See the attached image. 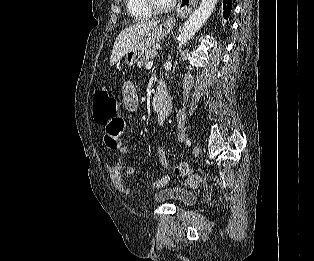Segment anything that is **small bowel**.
<instances>
[{"mask_svg":"<svg viewBox=\"0 0 314 261\" xmlns=\"http://www.w3.org/2000/svg\"><path fill=\"white\" fill-rule=\"evenodd\" d=\"M122 102L128 111H133L137 107V89L131 80L125 81L122 86ZM169 111L170 109L163 116L156 118L158 125L164 124ZM125 123L126 116H111V120L104 121V133L101 134V139L104 140L106 151L127 152V143L123 141V136L125 135ZM157 156L160 166L162 168H167L168 160L164 147H159L157 149ZM123 171L127 176H133L136 173V169L132 166H128L124 169L123 162L120 160L115 164L108 166V173L114 187L123 195L130 197L133 193L131 188L124 181ZM169 181L170 176L164 175L154 181L153 187L161 188L168 184Z\"/></svg>","mask_w":314,"mask_h":261,"instance_id":"1","label":"small bowel"}]
</instances>
